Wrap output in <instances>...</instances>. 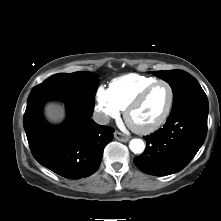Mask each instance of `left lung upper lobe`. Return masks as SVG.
<instances>
[{"label": "left lung upper lobe", "mask_w": 221, "mask_h": 221, "mask_svg": "<svg viewBox=\"0 0 221 221\" xmlns=\"http://www.w3.org/2000/svg\"><path fill=\"white\" fill-rule=\"evenodd\" d=\"M152 73L171 86L173 90V104L190 94L203 91L197 80L185 71L169 70L154 71Z\"/></svg>", "instance_id": "1"}]
</instances>
